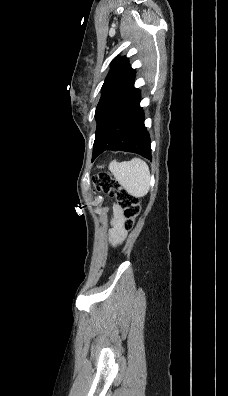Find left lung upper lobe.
I'll use <instances>...</instances> for the list:
<instances>
[{
    "mask_svg": "<svg viewBox=\"0 0 228 396\" xmlns=\"http://www.w3.org/2000/svg\"><path fill=\"white\" fill-rule=\"evenodd\" d=\"M134 79L135 70L129 66L126 57L119 58L112 64L102 86V95L95 112L97 128L105 111L134 84ZM95 152L96 143L94 142L93 154Z\"/></svg>",
    "mask_w": 228,
    "mask_h": 396,
    "instance_id": "left-lung-upper-lobe-1",
    "label": "left lung upper lobe"
}]
</instances>
